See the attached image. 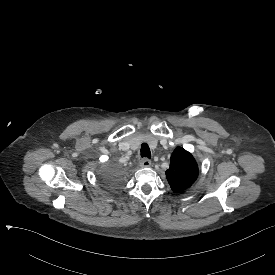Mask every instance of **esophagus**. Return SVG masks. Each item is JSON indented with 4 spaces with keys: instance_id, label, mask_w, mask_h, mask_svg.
<instances>
[{
    "instance_id": "34e87169",
    "label": "esophagus",
    "mask_w": 275,
    "mask_h": 275,
    "mask_svg": "<svg viewBox=\"0 0 275 275\" xmlns=\"http://www.w3.org/2000/svg\"><path fill=\"white\" fill-rule=\"evenodd\" d=\"M140 167L145 168V167H150L151 166V161L147 158L141 159L139 162Z\"/></svg>"
}]
</instances>
